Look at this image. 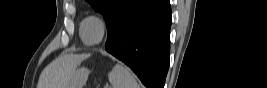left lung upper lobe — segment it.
Instances as JSON below:
<instances>
[{"label": "left lung upper lobe", "mask_w": 267, "mask_h": 88, "mask_svg": "<svg viewBox=\"0 0 267 88\" xmlns=\"http://www.w3.org/2000/svg\"><path fill=\"white\" fill-rule=\"evenodd\" d=\"M133 1L134 0H87L95 11L103 15L108 30Z\"/></svg>", "instance_id": "1"}]
</instances>
